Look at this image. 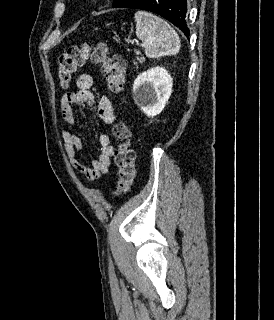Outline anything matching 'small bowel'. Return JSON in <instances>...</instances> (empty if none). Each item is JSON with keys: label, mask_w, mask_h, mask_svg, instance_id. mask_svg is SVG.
I'll use <instances>...</instances> for the list:
<instances>
[{"label": "small bowel", "mask_w": 274, "mask_h": 320, "mask_svg": "<svg viewBox=\"0 0 274 320\" xmlns=\"http://www.w3.org/2000/svg\"><path fill=\"white\" fill-rule=\"evenodd\" d=\"M92 84V76L89 73H82L77 80V90L68 92L62 96L60 101L61 113L68 125L74 126L76 122L73 105L86 104L89 107L96 105L95 97L91 92ZM97 112L105 124L111 125L114 123L116 116L113 99L110 95L105 94L101 96L97 105ZM61 135L63 147L71 165L88 180H96L102 174L109 171L111 159L115 154V147L108 134H99L98 141L101 147V153L97 159L92 161L91 166L85 164L79 157L83 149V143L80 137L67 129H63Z\"/></svg>", "instance_id": "c3829d8e"}]
</instances>
